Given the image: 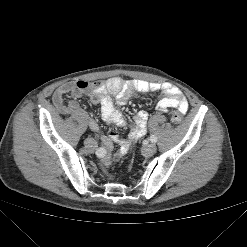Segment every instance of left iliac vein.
Masks as SVG:
<instances>
[{
	"instance_id": "1",
	"label": "left iliac vein",
	"mask_w": 247,
	"mask_h": 247,
	"mask_svg": "<svg viewBox=\"0 0 247 247\" xmlns=\"http://www.w3.org/2000/svg\"><path fill=\"white\" fill-rule=\"evenodd\" d=\"M157 150L155 144H149L142 149V153L145 156H152Z\"/></svg>"
}]
</instances>
